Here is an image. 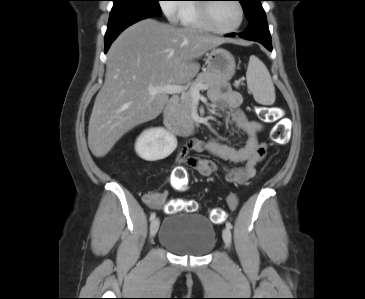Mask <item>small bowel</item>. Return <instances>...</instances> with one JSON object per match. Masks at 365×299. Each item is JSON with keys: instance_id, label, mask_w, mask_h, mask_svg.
I'll use <instances>...</instances> for the list:
<instances>
[{"instance_id": "obj_1", "label": "small bowel", "mask_w": 365, "mask_h": 299, "mask_svg": "<svg viewBox=\"0 0 365 299\" xmlns=\"http://www.w3.org/2000/svg\"><path fill=\"white\" fill-rule=\"evenodd\" d=\"M210 100L232 110L230 119L246 135L245 144L235 148L217 139H189L180 149L179 161L204 176H211L218 170V165L215 162L205 158L188 156L190 151H207L225 162L237 165L235 167H226L224 172L229 182L242 185L254 177L256 167L267 154V146L258 140V134L262 131L263 125L258 121L248 119L242 111L238 110L242 103V96L227 85H224L222 90H212ZM183 165L177 166L175 173H181ZM166 197V191H154L146 194L144 200L150 208H160Z\"/></svg>"}]
</instances>
